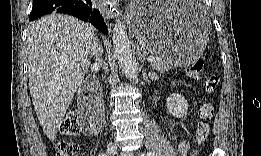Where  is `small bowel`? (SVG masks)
<instances>
[{"instance_id":"small-bowel-1","label":"small bowel","mask_w":261,"mask_h":156,"mask_svg":"<svg viewBox=\"0 0 261 156\" xmlns=\"http://www.w3.org/2000/svg\"><path fill=\"white\" fill-rule=\"evenodd\" d=\"M189 144L185 140H180L178 144V152L180 155L185 156L188 152Z\"/></svg>"}]
</instances>
